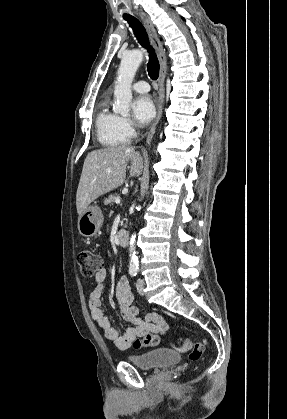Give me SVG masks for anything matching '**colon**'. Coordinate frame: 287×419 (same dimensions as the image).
Instances as JSON below:
<instances>
[{
	"mask_svg": "<svg viewBox=\"0 0 287 419\" xmlns=\"http://www.w3.org/2000/svg\"><path fill=\"white\" fill-rule=\"evenodd\" d=\"M78 262L85 277H91L102 269L101 257L90 250L81 251L78 255ZM158 343L159 338L156 335L147 334L142 338L136 339L133 346L134 348L157 346ZM176 349L179 352L187 353L192 361L201 359L204 353V346L201 343L193 342L189 338H179L176 342Z\"/></svg>",
	"mask_w": 287,
	"mask_h": 419,
	"instance_id": "obj_1",
	"label": "colon"
}]
</instances>
